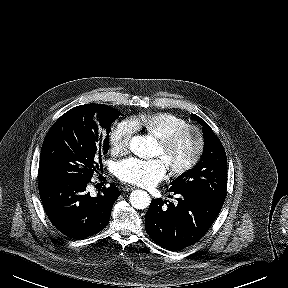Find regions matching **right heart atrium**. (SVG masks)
<instances>
[{"mask_svg": "<svg viewBox=\"0 0 288 288\" xmlns=\"http://www.w3.org/2000/svg\"><path fill=\"white\" fill-rule=\"evenodd\" d=\"M136 130L131 120L119 122L110 134V144L116 153H124L128 150L131 138Z\"/></svg>", "mask_w": 288, "mask_h": 288, "instance_id": "obj_1", "label": "right heart atrium"}]
</instances>
